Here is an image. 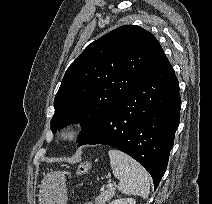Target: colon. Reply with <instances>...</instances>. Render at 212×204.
Here are the masks:
<instances>
[{"label": "colon", "instance_id": "obj_1", "mask_svg": "<svg viewBox=\"0 0 212 204\" xmlns=\"http://www.w3.org/2000/svg\"><path fill=\"white\" fill-rule=\"evenodd\" d=\"M90 168H91V163H90V162H84V163H82V164L79 166V168H78V170H77V173H78L79 175L84 174V173H86Z\"/></svg>", "mask_w": 212, "mask_h": 204}]
</instances>
